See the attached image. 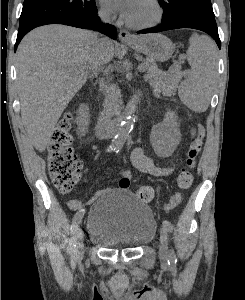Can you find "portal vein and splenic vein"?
Segmentation results:
<instances>
[{
  "label": "portal vein and splenic vein",
  "instance_id": "18ae733b",
  "mask_svg": "<svg viewBox=\"0 0 245 300\" xmlns=\"http://www.w3.org/2000/svg\"><path fill=\"white\" fill-rule=\"evenodd\" d=\"M138 70H139V72H144L146 70L145 65L144 64H140L138 66Z\"/></svg>",
  "mask_w": 245,
  "mask_h": 300
}]
</instances>
